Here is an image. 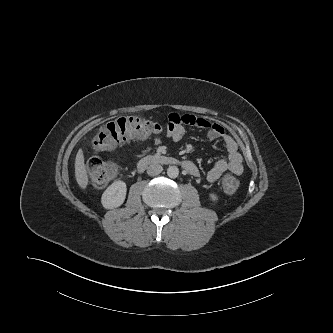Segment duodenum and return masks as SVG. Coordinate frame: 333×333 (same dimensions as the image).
<instances>
[{"instance_id":"duodenum-1","label":"duodenum","mask_w":333,"mask_h":333,"mask_svg":"<svg viewBox=\"0 0 333 333\" xmlns=\"http://www.w3.org/2000/svg\"><path fill=\"white\" fill-rule=\"evenodd\" d=\"M178 161L169 156L165 155H148L143 157L137 164V170L138 171H144L148 166L154 165V164H160V165H173L177 164ZM183 167L185 168L186 165L182 163Z\"/></svg>"}]
</instances>
